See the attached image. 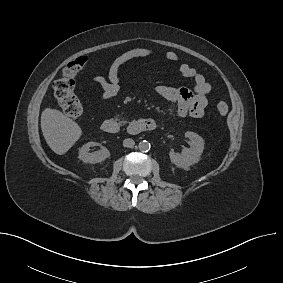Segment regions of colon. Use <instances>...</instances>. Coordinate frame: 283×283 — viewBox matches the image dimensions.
I'll list each match as a JSON object with an SVG mask.
<instances>
[{
    "label": "colon",
    "instance_id": "obj_1",
    "mask_svg": "<svg viewBox=\"0 0 283 283\" xmlns=\"http://www.w3.org/2000/svg\"><path fill=\"white\" fill-rule=\"evenodd\" d=\"M87 61L86 57H80L70 62L62 71L61 77L53 85L54 95L65 112L73 120H78L82 113V104L74 92L75 77L83 69ZM216 109L221 117L228 114L229 108L225 102H219Z\"/></svg>",
    "mask_w": 283,
    "mask_h": 283
}]
</instances>
